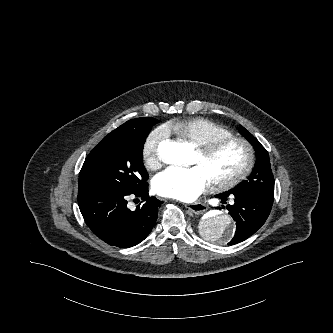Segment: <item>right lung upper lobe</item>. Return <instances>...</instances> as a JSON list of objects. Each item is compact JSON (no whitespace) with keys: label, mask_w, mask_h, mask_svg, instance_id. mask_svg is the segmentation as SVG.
Returning <instances> with one entry per match:
<instances>
[{"label":"right lung upper lobe","mask_w":333,"mask_h":333,"mask_svg":"<svg viewBox=\"0 0 333 333\" xmlns=\"http://www.w3.org/2000/svg\"><path fill=\"white\" fill-rule=\"evenodd\" d=\"M145 118L146 117L129 120V121L125 122L123 125H121L120 127H118L116 130H122V129H128V128L135 127L138 122H141Z\"/></svg>","instance_id":"cb5924a9"}]
</instances>
